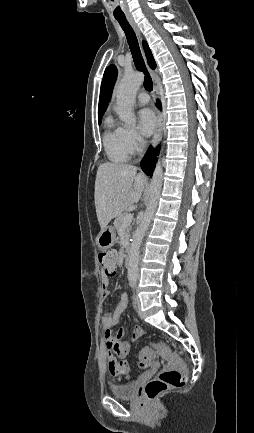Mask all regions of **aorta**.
<instances>
[{"mask_svg":"<svg viewBox=\"0 0 254 433\" xmlns=\"http://www.w3.org/2000/svg\"><path fill=\"white\" fill-rule=\"evenodd\" d=\"M144 76L139 72H126L119 83L116 90L117 112L119 118L127 125L135 123V115L133 106L135 103V96L143 83ZM163 182V168L162 162L159 159L150 184V198L144 213V217L133 234V240L129 252L128 261V280L129 282H136L139 277V248L142 239L150 225L158 205V199L162 189Z\"/></svg>","mask_w":254,"mask_h":433,"instance_id":"762f6f07","label":"aorta"}]
</instances>
